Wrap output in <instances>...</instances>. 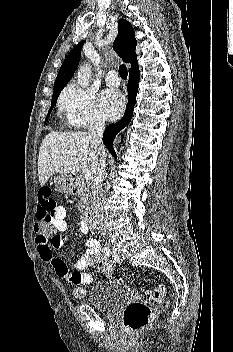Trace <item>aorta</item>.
<instances>
[{
  "label": "aorta",
  "mask_w": 233,
  "mask_h": 352,
  "mask_svg": "<svg viewBox=\"0 0 233 352\" xmlns=\"http://www.w3.org/2000/svg\"><path fill=\"white\" fill-rule=\"evenodd\" d=\"M77 81L78 84L82 88H86L89 86L91 81V66L87 63H84L77 72ZM121 140L119 138L116 139L115 144L119 143Z\"/></svg>",
  "instance_id": "1"
}]
</instances>
